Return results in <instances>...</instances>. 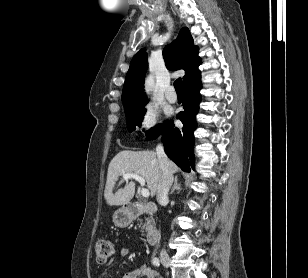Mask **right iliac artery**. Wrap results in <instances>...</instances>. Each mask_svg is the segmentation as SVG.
I'll list each match as a JSON object with an SVG mask.
<instances>
[{
  "label": "right iliac artery",
  "mask_w": 308,
  "mask_h": 278,
  "mask_svg": "<svg viewBox=\"0 0 308 278\" xmlns=\"http://www.w3.org/2000/svg\"><path fill=\"white\" fill-rule=\"evenodd\" d=\"M152 264L154 265V266H160V260L157 258V257H155V258H153V260H152Z\"/></svg>",
  "instance_id": "right-iliac-artery-1"
}]
</instances>
